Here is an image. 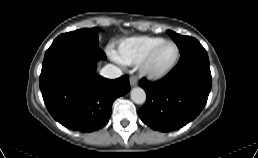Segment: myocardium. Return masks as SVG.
Masks as SVG:
<instances>
[{
    "mask_svg": "<svg viewBox=\"0 0 258 158\" xmlns=\"http://www.w3.org/2000/svg\"><path fill=\"white\" fill-rule=\"evenodd\" d=\"M166 43H170L172 44L175 49H176V56L175 59L173 60V62L171 64H169L166 68L160 70V71H152L151 69H149V62L151 60V58L153 57V55L155 54V52L157 51V49ZM180 60V50L178 45L172 41V40H162L160 43H158L156 46H154L147 54L146 56L143 58V60L140 62V72L143 76H145L148 79L151 80H160L163 79L164 77H166L178 64Z\"/></svg>",
    "mask_w": 258,
    "mask_h": 158,
    "instance_id": "f54148a6",
    "label": "myocardium"
}]
</instances>
